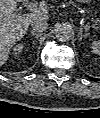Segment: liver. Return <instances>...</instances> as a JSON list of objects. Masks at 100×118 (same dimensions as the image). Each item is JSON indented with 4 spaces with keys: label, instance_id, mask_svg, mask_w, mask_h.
<instances>
[{
    "label": "liver",
    "instance_id": "1",
    "mask_svg": "<svg viewBox=\"0 0 100 118\" xmlns=\"http://www.w3.org/2000/svg\"><path fill=\"white\" fill-rule=\"evenodd\" d=\"M16 1L0 0V63L4 64L12 46L26 33L31 21L36 18L48 19V6L45 2L40 4L38 12L19 15L16 13Z\"/></svg>",
    "mask_w": 100,
    "mask_h": 118
}]
</instances>
